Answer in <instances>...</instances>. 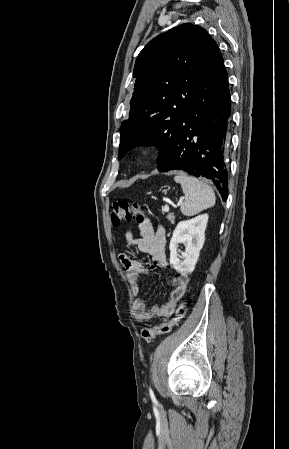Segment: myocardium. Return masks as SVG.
Listing matches in <instances>:
<instances>
[{"mask_svg":"<svg viewBox=\"0 0 289 449\" xmlns=\"http://www.w3.org/2000/svg\"><path fill=\"white\" fill-rule=\"evenodd\" d=\"M147 153H148V149L146 146L141 145L137 148V155L139 157H144V156H146Z\"/></svg>","mask_w":289,"mask_h":449,"instance_id":"1","label":"myocardium"}]
</instances>
